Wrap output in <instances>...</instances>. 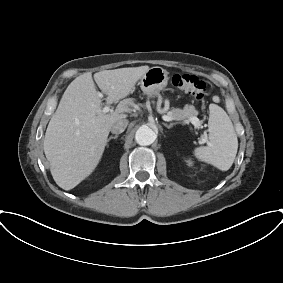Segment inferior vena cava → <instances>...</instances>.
I'll return each instance as SVG.
<instances>
[{
	"mask_svg": "<svg viewBox=\"0 0 283 283\" xmlns=\"http://www.w3.org/2000/svg\"><path fill=\"white\" fill-rule=\"evenodd\" d=\"M128 120L127 119H121L119 121H117L116 123H114L111 127V132L113 134H120L122 132H124V130L126 129L127 125H128Z\"/></svg>",
	"mask_w": 283,
	"mask_h": 283,
	"instance_id": "1",
	"label": "inferior vena cava"
}]
</instances>
